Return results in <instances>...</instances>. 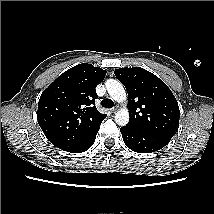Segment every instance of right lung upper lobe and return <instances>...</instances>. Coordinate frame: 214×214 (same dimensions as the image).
<instances>
[{
	"label": "right lung upper lobe",
	"instance_id": "cb5924a9",
	"mask_svg": "<svg viewBox=\"0 0 214 214\" xmlns=\"http://www.w3.org/2000/svg\"><path fill=\"white\" fill-rule=\"evenodd\" d=\"M105 75V70L82 63L62 73L42 93L37 120L53 145L72 152L99 130L106 114L95 106V87Z\"/></svg>",
	"mask_w": 214,
	"mask_h": 214
}]
</instances>
